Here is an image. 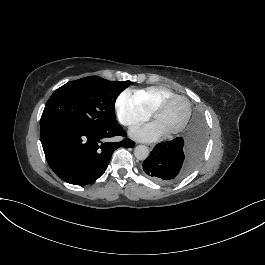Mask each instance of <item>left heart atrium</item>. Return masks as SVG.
<instances>
[{"label": "left heart atrium", "mask_w": 265, "mask_h": 265, "mask_svg": "<svg viewBox=\"0 0 265 265\" xmlns=\"http://www.w3.org/2000/svg\"><path fill=\"white\" fill-rule=\"evenodd\" d=\"M131 136L138 140L151 141L165 134L157 122H152L131 131Z\"/></svg>", "instance_id": "39dd6f15"}]
</instances>
